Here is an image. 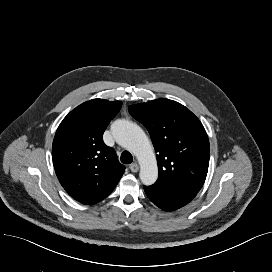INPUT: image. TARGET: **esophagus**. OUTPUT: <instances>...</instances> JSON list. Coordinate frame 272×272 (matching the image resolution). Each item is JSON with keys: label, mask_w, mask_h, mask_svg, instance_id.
<instances>
[{"label": "esophagus", "mask_w": 272, "mask_h": 272, "mask_svg": "<svg viewBox=\"0 0 272 272\" xmlns=\"http://www.w3.org/2000/svg\"><path fill=\"white\" fill-rule=\"evenodd\" d=\"M129 169L132 171V172H137L139 170V166L137 163H132L129 165Z\"/></svg>", "instance_id": "34e87169"}]
</instances>
